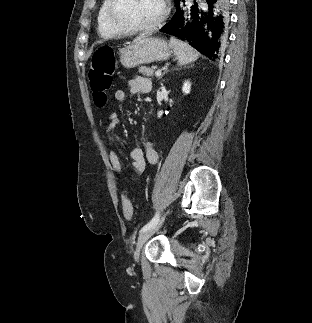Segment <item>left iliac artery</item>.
Listing matches in <instances>:
<instances>
[{
  "label": "left iliac artery",
  "instance_id": "1",
  "mask_svg": "<svg viewBox=\"0 0 312 323\" xmlns=\"http://www.w3.org/2000/svg\"><path fill=\"white\" fill-rule=\"evenodd\" d=\"M159 221V213H156L155 216L152 218V220L147 223L142 229L140 232H143L145 230H148L149 228L155 226Z\"/></svg>",
  "mask_w": 312,
  "mask_h": 323
}]
</instances>
